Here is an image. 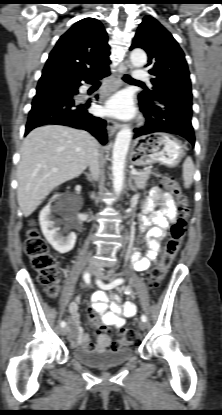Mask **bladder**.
Segmentation results:
<instances>
[{"instance_id": "1", "label": "bladder", "mask_w": 222, "mask_h": 415, "mask_svg": "<svg viewBox=\"0 0 222 415\" xmlns=\"http://www.w3.org/2000/svg\"><path fill=\"white\" fill-rule=\"evenodd\" d=\"M71 356L77 362L93 367V368H108L116 367L125 364L134 356L132 348H118L113 350L87 351L83 349H73Z\"/></svg>"}]
</instances>
